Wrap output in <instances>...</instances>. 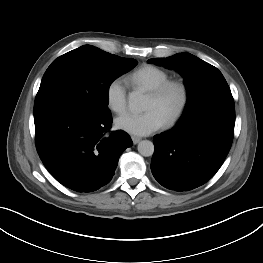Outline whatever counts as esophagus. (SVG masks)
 Wrapping results in <instances>:
<instances>
[{"label": "esophagus", "instance_id": "esophagus-1", "mask_svg": "<svg viewBox=\"0 0 263 263\" xmlns=\"http://www.w3.org/2000/svg\"><path fill=\"white\" fill-rule=\"evenodd\" d=\"M131 138H132V141H133L134 144L139 143L140 140H141V138H140V137H137V136H132Z\"/></svg>", "mask_w": 263, "mask_h": 263}]
</instances>
